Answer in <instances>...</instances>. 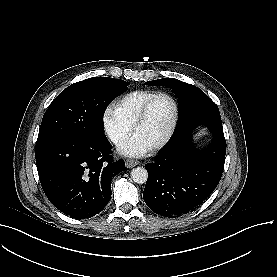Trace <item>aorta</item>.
<instances>
[{"mask_svg": "<svg viewBox=\"0 0 277 277\" xmlns=\"http://www.w3.org/2000/svg\"><path fill=\"white\" fill-rule=\"evenodd\" d=\"M131 178L137 184H144L148 179V172L143 167H136L131 171Z\"/></svg>", "mask_w": 277, "mask_h": 277, "instance_id": "762f6f07", "label": "aorta"}]
</instances>
